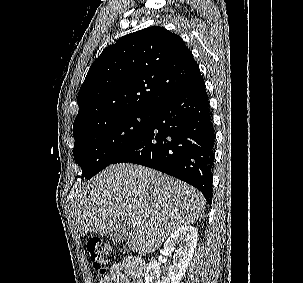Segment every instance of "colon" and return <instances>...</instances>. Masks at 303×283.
Returning a JSON list of instances; mask_svg holds the SVG:
<instances>
[{"label": "colon", "mask_w": 303, "mask_h": 283, "mask_svg": "<svg viewBox=\"0 0 303 283\" xmlns=\"http://www.w3.org/2000/svg\"><path fill=\"white\" fill-rule=\"evenodd\" d=\"M86 250L90 257L92 268L105 274L111 266L110 264L116 259V249L98 238L90 239L86 244Z\"/></svg>", "instance_id": "colon-1"}]
</instances>
